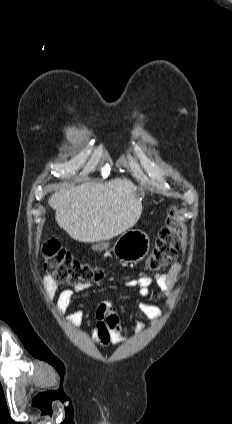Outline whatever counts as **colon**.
I'll return each mask as SVG.
<instances>
[{
    "label": "colon",
    "instance_id": "obj_1",
    "mask_svg": "<svg viewBox=\"0 0 232 424\" xmlns=\"http://www.w3.org/2000/svg\"><path fill=\"white\" fill-rule=\"evenodd\" d=\"M180 233L177 210L171 207L146 260L149 270H160L172 262L177 256ZM43 263L50 282L54 284L79 285L105 279V271L101 267L76 258L58 241L52 239H47L44 243Z\"/></svg>",
    "mask_w": 232,
    "mask_h": 424
}]
</instances>
